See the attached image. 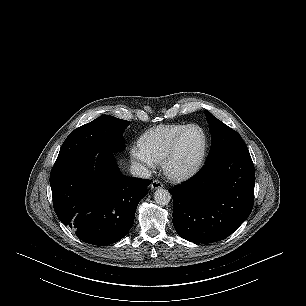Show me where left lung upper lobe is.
<instances>
[{"mask_svg":"<svg viewBox=\"0 0 306 306\" xmlns=\"http://www.w3.org/2000/svg\"><path fill=\"white\" fill-rule=\"evenodd\" d=\"M205 115L211 133V148L206 163L218 157L249 152L243 139L236 131L208 111H205Z\"/></svg>","mask_w":306,"mask_h":306,"instance_id":"left-lung-upper-lobe-1","label":"left lung upper lobe"}]
</instances>
